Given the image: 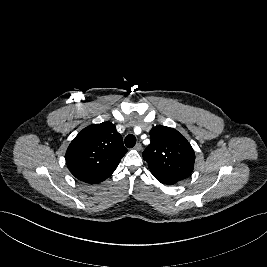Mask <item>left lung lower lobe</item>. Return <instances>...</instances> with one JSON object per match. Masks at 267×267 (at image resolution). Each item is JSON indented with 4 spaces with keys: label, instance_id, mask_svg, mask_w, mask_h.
<instances>
[{
    "label": "left lung lower lobe",
    "instance_id": "0a47b994",
    "mask_svg": "<svg viewBox=\"0 0 267 267\" xmlns=\"http://www.w3.org/2000/svg\"><path fill=\"white\" fill-rule=\"evenodd\" d=\"M159 182L163 183V184H175L177 183V181L174 180H168V179H162L159 177H155Z\"/></svg>",
    "mask_w": 267,
    "mask_h": 267
}]
</instances>
